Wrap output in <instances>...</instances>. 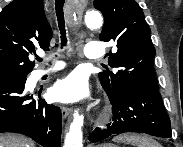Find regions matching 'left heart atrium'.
Wrapping results in <instances>:
<instances>
[{
	"label": "left heart atrium",
	"mask_w": 183,
	"mask_h": 147,
	"mask_svg": "<svg viewBox=\"0 0 183 147\" xmlns=\"http://www.w3.org/2000/svg\"><path fill=\"white\" fill-rule=\"evenodd\" d=\"M88 93L87 82L79 74H70L52 87L54 99L62 103L77 102L87 97Z\"/></svg>",
	"instance_id": "1"
}]
</instances>
